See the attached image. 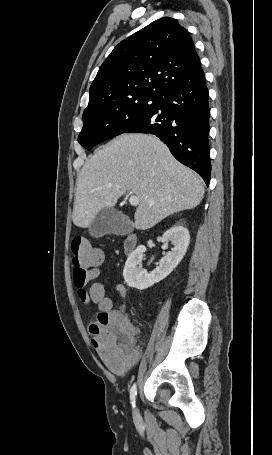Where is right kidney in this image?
I'll use <instances>...</instances> for the list:
<instances>
[{"instance_id": "right-kidney-1", "label": "right kidney", "mask_w": 272, "mask_h": 455, "mask_svg": "<svg viewBox=\"0 0 272 455\" xmlns=\"http://www.w3.org/2000/svg\"><path fill=\"white\" fill-rule=\"evenodd\" d=\"M174 246L161 260L157 268L150 274L142 267L144 245H139L128 257L123 270V276L128 286L144 290L166 278L183 259L190 242L187 228L176 225L167 230L162 237V248L168 247V242Z\"/></svg>"}]
</instances>
